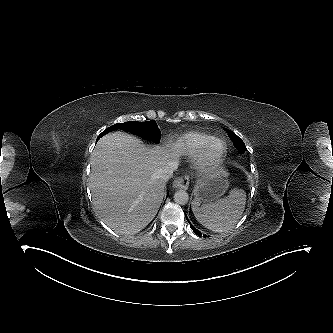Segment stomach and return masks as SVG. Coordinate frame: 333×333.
<instances>
[{
	"label": "stomach",
	"mask_w": 333,
	"mask_h": 333,
	"mask_svg": "<svg viewBox=\"0 0 333 333\" xmlns=\"http://www.w3.org/2000/svg\"><path fill=\"white\" fill-rule=\"evenodd\" d=\"M227 175L224 171L216 170L202 176L193 191L195 201L210 203L219 199L229 186Z\"/></svg>",
	"instance_id": "1"
}]
</instances>
